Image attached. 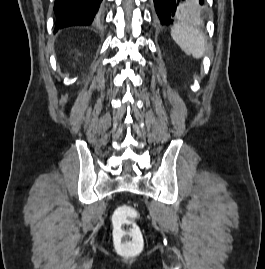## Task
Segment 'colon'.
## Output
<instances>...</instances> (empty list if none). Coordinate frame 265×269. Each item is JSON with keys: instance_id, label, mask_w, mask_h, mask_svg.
Returning a JSON list of instances; mask_svg holds the SVG:
<instances>
[{"instance_id": "obj_1", "label": "colon", "mask_w": 265, "mask_h": 269, "mask_svg": "<svg viewBox=\"0 0 265 269\" xmlns=\"http://www.w3.org/2000/svg\"><path fill=\"white\" fill-rule=\"evenodd\" d=\"M136 217L137 212L131 207H121L115 212L114 237L122 250L135 248L141 238V232L134 221Z\"/></svg>"}]
</instances>
